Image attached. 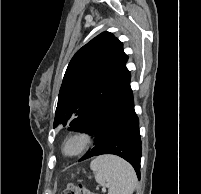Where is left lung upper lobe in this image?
<instances>
[{"mask_svg": "<svg viewBox=\"0 0 201 194\" xmlns=\"http://www.w3.org/2000/svg\"><path fill=\"white\" fill-rule=\"evenodd\" d=\"M123 44L103 32L80 48L71 59L58 96L54 128L82 132L92 115L129 76Z\"/></svg>", "mask_w": 201, "mask_h": 194, "instance_id": "left-lung-upper-lobe-1", "label": "left lung upper lobe"}]
</instances>
